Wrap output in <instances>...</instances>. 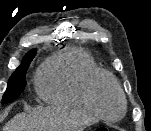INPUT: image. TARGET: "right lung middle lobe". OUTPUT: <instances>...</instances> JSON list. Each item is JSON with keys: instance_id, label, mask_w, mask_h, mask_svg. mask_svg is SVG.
<instances>
[{"instance_id": "obj_1", "label": "right lung middle lobe", "mask_w": 151, "mask_h": 131, "mask_svg": "<svg viewBox=\"0 0 151 131\" xmlns=\"http://www.w3.org/2000/svg\"><path fill=\"white\" fill-rule=\"evenodd\" d=\"M36 54V50L29 51L22 60L21 65L16 69L8 81V87L2 99V104H6L15 100L26 85V71Z\"/></svg>"}]
</instances>
